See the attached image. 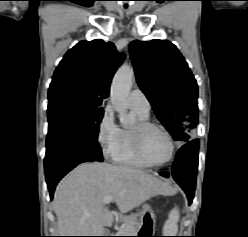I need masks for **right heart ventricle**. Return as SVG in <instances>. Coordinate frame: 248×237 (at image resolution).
I'll return each instance as SVG.
<instances>
[{
  "label": "right heart ventricle",
  "mask_w": 248,
  "mask_h": 237,
  "mask_svg": "<svg viewBox=\"0 0 248 237\" xmlns=\"http://www.w3.org/2000/svg\"><path fill=\"white\" fill-rule=\"evenodd\" d=\"M134 113L136 114L139 121L147 120L149 117V113H143L135 108H133ZM115 163L137 167V168H145L148 167L135 153L132 140H131V129L123 128L120 129V141L119 147L115 155L112 157Z\"/></svg>",
  "instance_id": "obj_1"
}]
</instances>
